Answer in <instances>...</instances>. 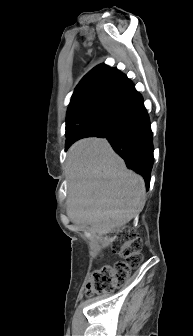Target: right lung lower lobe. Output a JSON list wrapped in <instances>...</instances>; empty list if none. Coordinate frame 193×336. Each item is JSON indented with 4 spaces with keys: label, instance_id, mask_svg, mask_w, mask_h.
Here are the masks:
<instances>
[{
    "label": "right lung lower lobe",
    "instance_id": "right-lung-lower-lobe-1",
    "mask_svg": "<svg viewBox=\"0 0 193 336\" xmlns=\"http://www.w3.org/2000/svg\"><path fill=\"white\" fill-rule=\"evenodd\" d=\"M96 137L106 138L127 167L143 176L149 188L154 162L152 132L143 98L133 84L118 100ZM70 145L66 144V148Z\"/></svg>",
    "mask_w": 193,
    "mask_h": 336
}]
</instances>
